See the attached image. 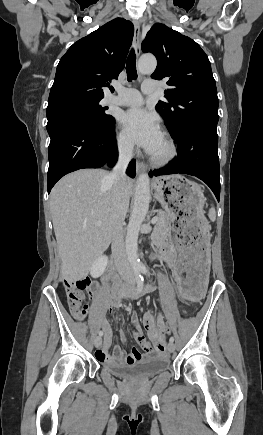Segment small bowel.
I'll return each instance as SVG.
<instances>
[{
	"label": "small bowel",
	"mask_w": 263,
	"mask_h": 435,
	"mask_svg": "<svg viewBox=\"0 0 263 435\" xmlns=\"http://www.w3.org/2000/svg\"><path fill=\"white\" fill-rule=\"evenodd\" d=\"M155 242L160 247L161 260L171 270H173L172 264L176 261V250L172 245L163 241L161 237H156ZM131 322L138 325L139 319L135 313L131 314ZM142 322L148 331L150 341H154L152 344L146 339L143 332L137 328L134 332V338L136 342L143 349L142 354L137 348H133L129 353H126L120 346L115 345L112 347V330L108 320L100 318L98 325L100 331L104 335L103 348L97 352V359L105 363H126L132 364L143 359L155 356L164 355L165 350L168 348L167 341L165 340V324L163 318L159 315L155 317L151 312L144 314ZM121 340L126 342V336L121 333ZM112 347V351L110 349Z\"/></svg>",
	"instance_id": "1"
}]
</instances>
